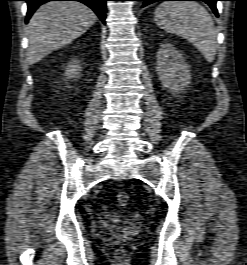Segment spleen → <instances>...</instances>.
Returning a JSON list of instances; mask_svg holds the SVG:
<instances>
[{
  "instance_id": "obj_1",
  "label": "spleen",
  "mask_w": 247,
  "mask_h": 265,
  "mask_svg": "<svg viewBox=\"0 0 247 265\" xmlns=\"http://www.w3.org/2000/svg\"><path fill=\"white\" fill-rule=\"evenodd\" d=\"M155 21L163 30L192 43L207 62H213L217 33L208 11L193 1H166L155 11Z\"/></svg>"
}]
</instances>
